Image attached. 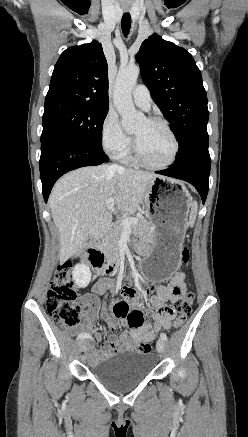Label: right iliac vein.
<instances>
[{
    "label": "right iliac vein",
    "instance_id": "63e3f726",
    "mask_svg": "<svg viewBox=\"0 0 248 437\" xmlns=\"http://www.w3.org/2000/svg\"><path fill=\"white\" fill-rule=\"evenodd\" d=\"M86 347H87V342L85 340L82 339L78 342L79 351L83 352L86 349Z\"/></svg>",
    "mask_w": 248,
    "mask_h": 437
}]
</instances>
